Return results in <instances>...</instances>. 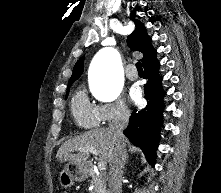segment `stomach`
I'll return each mask as SVG.
<instances>
[{
	"instance_id": "1",
	"label": "stomach",
	"mask_w": 221,
	"mask_h": 193,
	"mask_svg": "<svg viewBox=\"0 0 221 193\" xmlns=\"http://www.w3.org/2000/svg\"><path fill=\"white\" fill-rule=\"evenodd\" d=\"M88 170L85 166L69 163L59 174V184L63 188H70L74 182H79L87 177Z\"/></svg>"
}]
</instances>
